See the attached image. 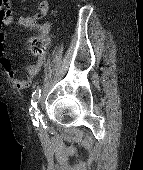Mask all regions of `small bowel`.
Wrapping results in <instances>:
<instances>
[{"instance_id":"small-bowel-1","label":"small bowel","mask_w":143,"mask_h":170,"mask_svg":"<svg viewBox=\"0 0 143 170\" xmlns=\"http://www.w3.org/2000/svg\"><path fill=\"white\" fill-rule=\"evenodd\" d=\"M48 11V3L45 0L38 2L36 5V10L29 15H19L15 17L14 15H8L5 19L0 20V64L8 74V76L14 81L16 88L24 89L29 86L32 79L41 70L45 57H39L34 63L26 67L25 76L22 79L17 78L16 70L14 69L10 59L4 50V41L6 38L5 27L10 26L14 23L36 30L40 34H47L50 31V23L45 22L42 24L38 23V20L43 18Z\"/></svg>"}]
</instances>
